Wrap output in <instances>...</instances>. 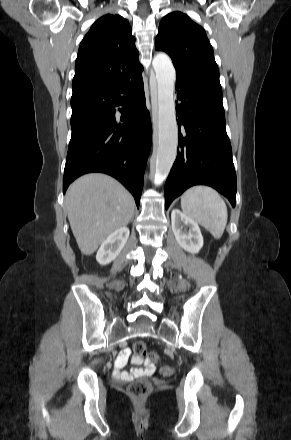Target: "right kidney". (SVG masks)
Wrapping results in <instances>:
<instances>
[{
	"instance_id": "1",
	"label": "right kidney",
	"mask_w": 291,
	"mask_h": 440,
	"mask_svg": "<svg viewBox=\"0 0 291 440\" xmlns=\"http://www.w3.org/2000/svg\"><path fill=\"white\" fill-rule=\"evenodd\" d=\"M129 234V229L124 226L109 235L97 252L96 260L98 263L106 265L113 261L125 246Z\"/></svg>"
}]
</instances>
